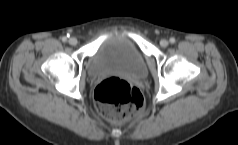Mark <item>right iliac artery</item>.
Segmentation results:
<instances>
[{"label":"right iliac artery","mask_w":238,"mask_h":145,"mask_svg":"<svg viewBox=\"0 0 238 145\" xmlns=\"http://www.w3.org/2000/svg\"><path fill=\"white\" fill-rule=\"evenodd\" d=\"M62 41L66 42L67 41V37H62Z\"/></svg>","instance_id":"obj_1"}]
</instances>
